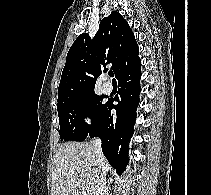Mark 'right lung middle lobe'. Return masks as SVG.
<instances>
[{
	"mask_svg": "<svg viewBox=\"0 0 211 195\" xmlns=\"http://www.w3.org/2000/svg\"><path fill=\"white\" fill-rule=\"evenodd\" d=\"M103 98L91 92L58 104L61 140L83 141L105 107ZM86 116L91 118V125L84 122Z\"/></svg>",
	"mask_w": 211,
	"mask_h": 195,
	"instance_id": "obj_1",
	"label": "right lung middle lobe"
}]
</instances>
